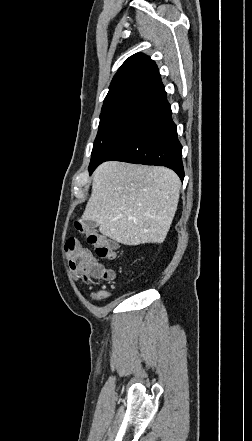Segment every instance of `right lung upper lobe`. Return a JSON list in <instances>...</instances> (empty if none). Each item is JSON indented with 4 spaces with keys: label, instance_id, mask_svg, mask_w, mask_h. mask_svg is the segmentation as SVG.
<instances>
[{
    "label": "right lung upper lobe",
    "instance_id": "right-lung-upper-lobe-1",
    "mask_svg": "<svg viewBox=\"0 0 252 441\" xmlns=\"http://www.w3.org/2000/svg\"><path fill=\"white\" fill-rule=\"evenodd\" d=\"M164 89L159 70L150 57L136 53L114 76L102 110L133 101L148 100Z\"/></svg>",
    "mask_w": 252,
    "mask_h": 441
}]
</instances>
